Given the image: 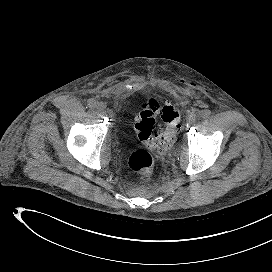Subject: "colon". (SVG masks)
<instances>
[{
  "mask_svg": "<svg viewBox=\"0 0 272 272\" xmlns=\"http://www.w3.org/2000/svg\"><path fill=\"white\" fill-rule=\"evenodd\" d=\"M161 113L162 125L155 132L156 117ZM139 139L151 150L161 151L170 148L180 128L178 109L172 105L161 107L155 99L148 100L135 117L134 124ZM129 168L149 177L153 172L154 159L145 149L134 151L128 161Z\"/></svg>",
  "mask_w": 272,
  "mask_h": 272,
  "instance_id": "5ec220e1",
  "label": "colon"
}]
</instances>
